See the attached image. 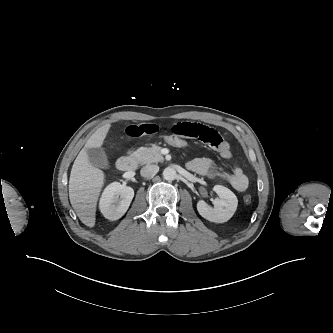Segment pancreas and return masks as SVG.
<instances>
[{"label": "pancreas", "mask_w": 333, "mask_h": 333, "mask_svg": "<svg viewBox=\"0 0 333 333\" xmlns=\"http://www.w3.org/2000/svg\"><path fill=\"white\" fill-rule=\"evenodd\" d=\"M161 147L152 145L150 147H140L134 153V158L139 164H150L163 162L164 158L161 154Z\"/></svg>", "instance_id": "obj_1"}]
</instances>
